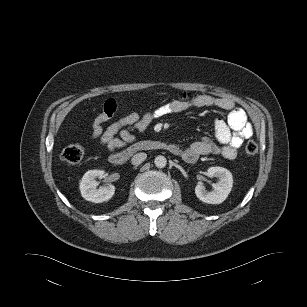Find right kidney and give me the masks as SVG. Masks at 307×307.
<instances>
[{
  "label": "right kidney",
  "instance_id": "1",
  "mask_svg": "<svg viewBox=\"0 0 307 307\" xmlns=\"http://www.w3.org/2000/svg\"><path fill=\"white\" fill-rule=\"evenodd\" d=\"M106 174L103 170H89L87 171L80 182V191L84 199L94 203H101L111 199L115 193V187L108 185L105 187H99L96 178H105Z\"/></svg>",
  "mask_w": 307,
  "mask_h": 307
}]
</instances>
